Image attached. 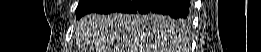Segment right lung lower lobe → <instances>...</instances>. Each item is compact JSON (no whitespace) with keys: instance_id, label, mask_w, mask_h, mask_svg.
<instances>
[{"instance_id":"1","label":"right lung lower lobe","mask_w":261,"mask_h":52,"mask_svg":"<svg viewBox=\"0 0 261 52\" xmlns=\"http://www.w3.org/2000/svg\"><path fill=\"white\" fill-rule=\"evenodd\" d=\"M190 0H105L90 12L108 14L111 12L163 14L173 18L187 19ZM89 12V13H90Z\"/></svg>"}]
</instances>
